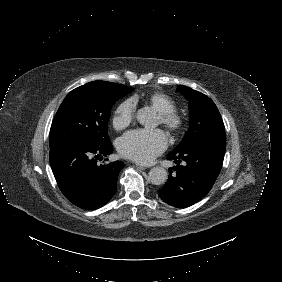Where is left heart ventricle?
Instances as JSON below:
<instances>
[{
    "mask_svg": "<svg viewBox=\"0 0 282 282\" xmlns=\"http://www.w3.org/2000/svg\"><path fill=\"white\" fill-rule=\"evenodd\" d=\"M157 122L159 123V118H158V116H157Z\"/></svg>",
    "mask_w": 282,
    "mask_h": 282,
    "instance_id": "b2bd125f",
    "label": "left heart ventricle"
}]
</instances>
